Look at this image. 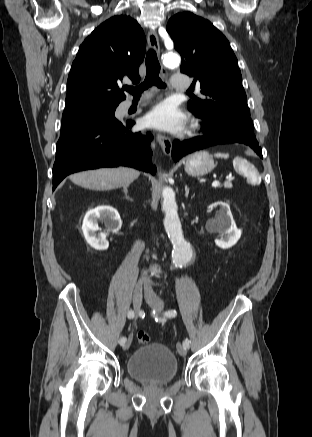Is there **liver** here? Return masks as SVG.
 Instances as JSON below:
<instances>
[{
  "instance_id": "1",
  "label": "liver",
  "mask_w": 312,
  "mask_h": 437,
  "mask_svg": "<svg viewBox=\"0 0 312 437\" xmlns=\"http://www.w3.org/2000/svg\"><path fill=\"white\" fill-rule=\"evenodd\" d=\"M140 172L128 167L101 168L71 175L70 180L83 188L105 191L129 186Z\"/></svg>"
}]
</instances>
